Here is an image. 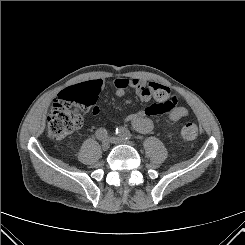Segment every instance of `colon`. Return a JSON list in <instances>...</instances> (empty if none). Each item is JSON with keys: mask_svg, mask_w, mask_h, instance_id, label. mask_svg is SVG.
Masks as SVG:
<instances>
[{"mask_svg": "<svg viewBox=\"0 0 245 245\" xmlns=\"http://www.w3.org/2000/svg\"><path fill=\"white\" fill-rule=\"evenodd\" d=\"M100 90L97 82L89 81L68 87L60 92L48 116V136L52 140L60 141L78 130L82 124L80 110L93 106ZM197 135L196 124L183 125L181 129L183 139L193 140Z\"/></svg>", "mask_w": 245, "mask_h": 245, "instance_id": "5ec220e1", "label": "colon"}]
</instances>
